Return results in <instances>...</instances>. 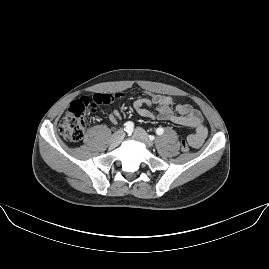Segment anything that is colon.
Returning a JSON list of instances; mask_svg holds the SVG:
<instances>
[{
    "instance_id": "1",
    "label": "colon",
    "mask_w": 269,
    "mask_h": 269,
    "mask_svg": "<svg viewBox=\"0 0 269 269\" xmlns=\"http://www.w3.org/2000/svg\"><path fill=\"white\" fill-rule=\"evenodd\" d=\"M112 95L118 98L125 97L123 94L106 93L105 95L93 93L92 97L82 96L75 100L68 108L66 114L59 121L58 129L60 134L68 141H80L86 132L88 126L87 116L97 111V107L108 105L111 102ZM182 152H188L189 143L186 139H181Z\"/></svg>"
}]
</instances>
